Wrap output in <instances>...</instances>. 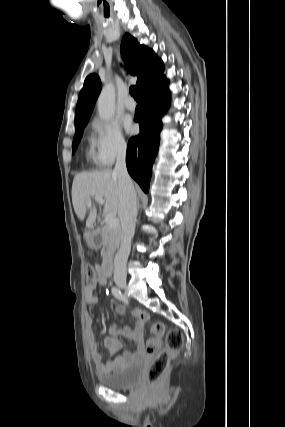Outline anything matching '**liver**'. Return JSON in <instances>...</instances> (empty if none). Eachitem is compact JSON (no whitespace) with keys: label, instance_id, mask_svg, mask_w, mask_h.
Listing matches in <instances>:
<instances>
[{"label":"liver","instance_id":"1","mask_svg":"<svg viewBox=\"0 0 285 427\" xmlns=\"http://www.w3.org/2000/svg\"><path fill=\"white\" fill-rule=\"evenodd\" d=\"M105 200L104 212L117 213L119 209L120 191L118 176L112 170L98 172H82L75 175L72 184V203L80 221H83L87 209L90 213L86 219V227L92 228L97 218V208L89 207L87 201L93 197Z\"/></svg>","mask_w":285,"mask_h":427}]
</instances>
